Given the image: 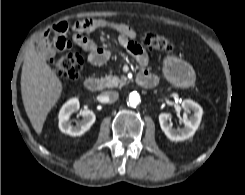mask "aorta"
<instances>
[{
  "instance_id": "1",
  "label": "aorta",
  "mask_w": 245,
  "mask_h": 195,
  "mask_svg": "<svg viewBox=\"0 0 245 195\" xmlns=\"http://www.w3.org/2000/svg\"><path fill=\"white\" fill-rule=\"evenodd\" d=\"M139 103H140L139 94L136 91L131 92L128 99V105L131 107H136Z\"/></svg>"
}]
</instances>
